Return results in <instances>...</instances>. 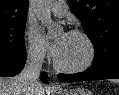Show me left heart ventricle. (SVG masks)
Listing matches in <instances>:
<instances>
[{
	"mask_svg": "<svg viewBox=\"0 0 119 95\" xmlns=\"http://www.w3.org/2000/svg\"><path fill=\"white\" fill-rule=\"evenodd\" d=\"M87 56L88 48L85 41L80 36L68 33L56 59L63 66L73 67L82 64Z\"/></svg>",
	"mask_w": 119,
	"mask_h": 95,
	"instance_id": "obj_1",
	"label": "left heart ventricle"
}]
</instances>
